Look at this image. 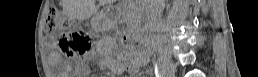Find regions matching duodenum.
Wrapping results in <instances>:
<instances>
[{
  "mask_svg": "<svg viewBox=\"0 0 258 77\" xmlns=\"http://www.w3.org/2000/svg\"><path fill=\"white\" fill-rule=\"evenodd\" d=\"M144 43L146 44V46L149 45V42H148V41H144ZM150 46H151V49H153V42H152V41H150Z\"/></svg>",
  "mask_w": 258,
  "mask_h": 77,
  "instance_id": "obj_1",
  "label": "duodenum"
}]
</instances>
